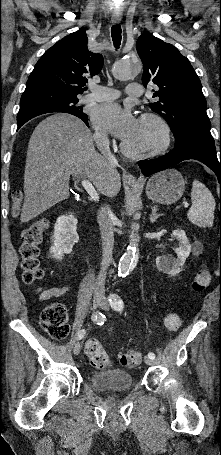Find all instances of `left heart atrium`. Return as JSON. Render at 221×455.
Segmentation results:
<instances>
[{"label": "left heart atrium", "mask_w": 221, "mask_h": 455, "mask_svg": "<svg viewBox=\"0 0 221 455\" xmlns=\"http://www.w3.org/2000/svg\"><path fill=\"white\" fill-rule=\"evenodd\" d=\"M93 123L96 127L112 133L125 142L134 135L138 119L130 108L111 103L95 109Z\"/></svg>", "instance_id": "obj_1"}]
</instances>
